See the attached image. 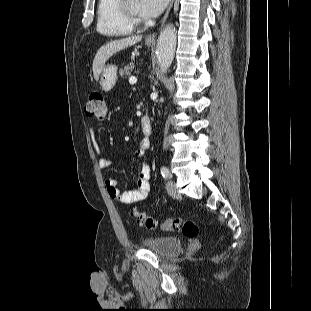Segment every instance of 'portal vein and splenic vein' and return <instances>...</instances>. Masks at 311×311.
Listing matches in <instances>:
<instances>
[{
	"label": "portal vein and splenic vein",
	"mask_w": 311,
	"mask_h": 311,
	"mask_svg": "<svg viewBox=\"0 0 311 311\" xmlns=\"http://www.w3.org/2000/svg\"><path fill=\"white\" fill-rule=\"evenodd\" d=\"M136 82H137V78H136V77L132 76V77L129 78V83H130V84L133 85V84H135Z\"/></svg>",
	"instance_id": "18ae733b"
}]
</instances>
